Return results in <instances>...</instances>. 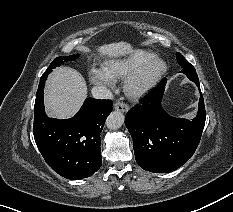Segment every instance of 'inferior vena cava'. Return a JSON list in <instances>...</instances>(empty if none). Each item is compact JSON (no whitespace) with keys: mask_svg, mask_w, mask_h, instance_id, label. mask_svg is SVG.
<instances>
[{"mask_svg":"<svg viewBox=\"0 0 233 212\" xmlns=\"http://www.w3.org/2000/svg\"><path fill=\"white\" fill-rule=\"evenodd\" d=\"M92 95L95 99H112V92L102 85L94 86L91 90Z\"/></svg>","mask_w":233,"mask_h":212,"instance_id":"1","label":"inferior vena cava"}]
</instances>
